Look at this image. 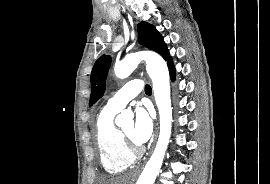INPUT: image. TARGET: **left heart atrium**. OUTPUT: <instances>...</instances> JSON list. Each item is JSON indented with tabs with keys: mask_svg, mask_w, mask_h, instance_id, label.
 <instances>
[{
	"mask_svg": "<svg viewBox=\"0 0 270 184\" xmlns=\"http://www.w3.org/2000/svg\"><path fill=\"white\" fill-rule=\"evenodd\" d=\"M153 133L151 112L143 107L136 108L133 136L137 143H146Z\"/></svg>",
	"mask_w": 270,
	"mask_h": 184,
	"instance_id": "39dd6f15",
	"label": "left heart atrium"
}]
</instances>
